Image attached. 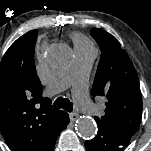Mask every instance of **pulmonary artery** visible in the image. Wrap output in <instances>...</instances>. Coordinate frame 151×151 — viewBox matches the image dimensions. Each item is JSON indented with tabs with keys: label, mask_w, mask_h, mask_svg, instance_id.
<instances>
[{
	"label": "pulmonary artery",
	"mask_w": 151,
	"mask_h": 151,
	"mask_svg": "<svg viewBox=\"0 0 151 151\" xmlns=\"http://www.w3.org/2000/svg\"><path fill=\"white\" fill-rule=\"evenodd\" d=\"M74 50L76 57L73 66L62 78L53 82L50 89L53 92H59L71 85L79 107L87 113L95 115L99 108L90 100L87 93V84L97 51L93 46L75 47Z\"/></svg>",
	"instance_id": "1"
}]
</instances>
